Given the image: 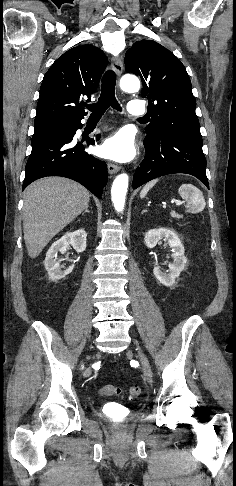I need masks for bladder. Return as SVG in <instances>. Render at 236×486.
<instances>
[{"label": "bladder", "instance_id": "31cf9c89", "mask_svg": "<svg viewBox=\"0 0 236 486\" xmlns=\"http://www.w3.org/2000/svg\"><path fill=\"white\" fill-rule=\"evenodd\" d=\"M102 411L105 413V414H111L115 411H117V408L113 405H104L102 407Z\"/></svg>", "mask_w": 236, "mask_h": 486}]
</instances>
